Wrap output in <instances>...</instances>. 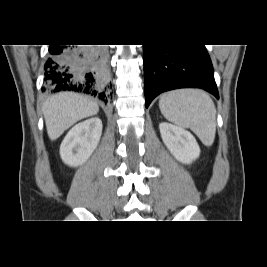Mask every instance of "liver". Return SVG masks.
Here are the masks:
<instances>
[{
    "label": "liver",
    "mask_w": 267,
    "mask_h": 267,
    "mask_svg": "<svg viewBox=\"0 0 267 267\" xmlns=\"http://www.w3.org/2000/svg\"><path fill=\"white\" fill-rule=\"evenodd\" d=\"M42 110L48 136L53 141L76 122L96 115L99 112V107L87 97L65 92L48 98Z\"/></svg>",
    "instance_id": "1"
}]
</instances>
